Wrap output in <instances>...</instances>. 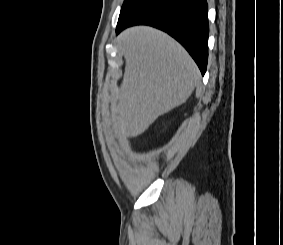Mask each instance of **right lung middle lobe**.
<instances>
[{
	"label": "right lung middle lobe",
	"instance_id": "obj_1",
	"mask_svg": "<svg viewBox=\"0 0 283 245\" xmlns=\"http://www.w3.org/2000/svg\"><path fill=\"white\" fill-rule=\"evenodd\" d=\"M150 0H124L120 11L118 24L128 19L134 12L145 5Z\"/></svg>",
	"mask_w": 283,
	"mask_h": 245
}]
</instances>
